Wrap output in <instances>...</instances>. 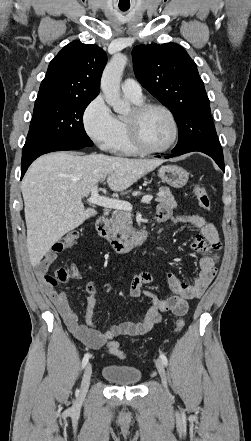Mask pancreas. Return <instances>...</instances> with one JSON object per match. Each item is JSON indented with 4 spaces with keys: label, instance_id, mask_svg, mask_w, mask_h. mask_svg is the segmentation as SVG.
<instances>
[{
    "label": "pancreas",
    "instance_id": "1",
    "mask_svg": "<svg viewBox=\"0 0 251 441\" xmlns=\"http://www.w3.org/2000/svg\"><path fill=\"white\" fill-rule=\"evenodd\" d=\"M159 191L162 195L157 197L156 201L170 209H176L177 202L171 194L170 189L168 187H161ZM110 231L113 234H120L123 239H127L134 232L131 214L124 211L114 212L111 218Z\"/></svg>",
    "mask_w": 251,
    "mask_h": 441
}]
</instances>
